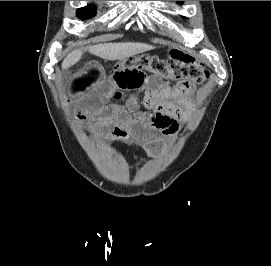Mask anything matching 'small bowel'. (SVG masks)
<instances>
[{
	"label": "small bowel",
	"instance_id": "obj_1",
	"mask_svg": "<svg viewBox=\"0 0 271 266\" xmlns=\"http://www.w3.org/2000/svg\"><path fill=\"white\" fill-rule=\"evenodd\" d=\"M133 91L143 93L144 111L134 95L124 104L119 102L124 93ZM66 97L74 106L76 121L87 122L95 135L113 141L130 140L152 150L158 147V132L174 134L195 108L191 91L179 85L172 87L161 76L137 67L106 74L96 61L70 75Z\"/></svg>",
	"mask_w": 271,
	"mask_h": 266
}]
</instances>
